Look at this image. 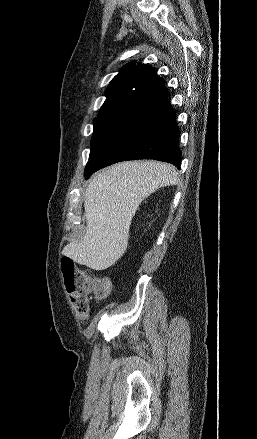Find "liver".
Returning <instances> with one entry per match:
<instances>
[{"label":"liver","mask_w":257,"mask_h":439,"mask_svg":"<svg viewBox=\"0 0 257 439\" xmlns=\"http://www.w3.org/2000/svg\"><path fill=\"white\" fill-rule=\"evenodd\" d=\"M177 182L175 168L156 161L121 162L100 171L84 196L86 232L62 253L93 270L109 268L127 248L131 221L141 202Z\"/></svg>","instance_id":"obj_1"}]
</instances>
